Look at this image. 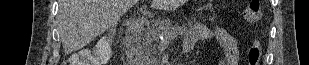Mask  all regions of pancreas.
<instances>
[{
    "label": "pancreas",
    "instance_id": "cf45deb5",
    "mask_svg": "<svg viewBox=\"0 0 309 65\" xmlns=\"http://www.w3.org/2000/svg\"><path fill=\"white\" fill-rule=\"evenodd\" d=\"M171 29V24L167 20L151 22L148 30L139 37L135 44L133 54L139 61L153 59L158 53L159 35L166 34Z\"/></svg>",
    "mask_w": 309,
    "mask_h": 65
}]
</instances>
